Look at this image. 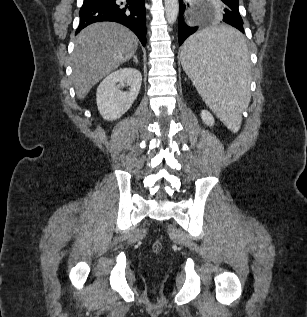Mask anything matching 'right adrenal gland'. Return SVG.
I'll return each instance as SVG.
<instances>
[{"mask_svg": "<svg viewBox=\"0 0 307 317\" xmlns=\"http://www.w3.org/2000/svg\"><path fill=\"white\" fill-rule=\"evenodd\" d=\"M133 61H134L135 63H137V64L139 63V62H138V59H137V56H134Z\"/></svg>", "mask_w": 307, "mask_h": 317, "instance_id": "1", "label": "right adrenal gland"}]
</instances>
